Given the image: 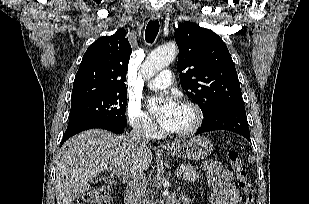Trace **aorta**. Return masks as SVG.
Masks as SVG:
<instances>
[{"mask_svg":"<svg viewBox=\"0 0 309 204\" xmlns=\"http://www.w3.org/2000/svg\"><path fill=\"white\" fill-rule=\"evenodd\" d=\"M176 55L174 44L163 45L151 52L141 67V74L144 79H151L156 73L167 67Z\"/></svg>","mask_w":309,"mask_h":204,"instance_id":"obj_1","label":"aorta"}]
</instances>
